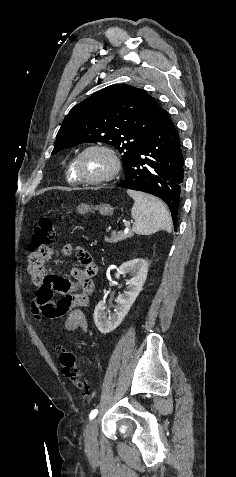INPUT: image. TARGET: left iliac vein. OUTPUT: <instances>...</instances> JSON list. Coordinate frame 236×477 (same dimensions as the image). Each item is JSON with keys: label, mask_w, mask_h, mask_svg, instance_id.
<instances>
[{"label": "left iliac vein", "mask_w": 236, "mask_h": 477, "mask_svg": "<svg viewBox=\"0 0 236 477\" xmlns=\"http://www.w3.org/2000/svg\"><path fill=\"white\" fill-rule=\"evenodd\" d=\"M98 414L97 416L94 417V421L87 425L85 429V445L88 450H94L98 447V441H97V436H98V429L97 426L101 422V417Z\"/></svg>", "instance_id": "left-iliac-vein-1"}]
</instances>
